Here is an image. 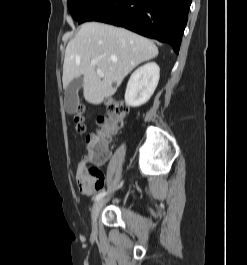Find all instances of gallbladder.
Listing matches in <instances>:
<instances>
[{
	"mask_svg": "<svg viewBox=\"0 0 247 265\" xmlns=\"http://www.w3.org/2000/svg\"><path fill=\"white\" fill-rule=\"evenodd\" d=\"M83 86V78L73 79L65 89V108L67 113L74 114L77 108L78 91Z\"/></svg>",
	"mask_w": 247,
	"mask_h": 265,
	"instance_id": "1",
	"label": "gallbladder"
}]
</instances>
